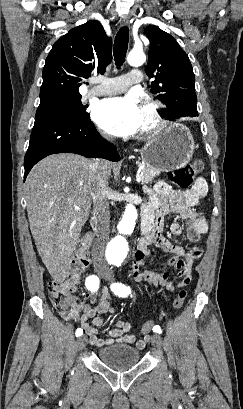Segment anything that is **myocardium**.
Here are the masks:
<instances>
[{
	"instance_id": "myocardium-1",
	"label": "myocardium",
	"mask_w": 243,
	"mask_h": 409,
	"mask_svg": "<svg viewBox=\"0 0 243 409\" xmlns=\"http://www.w3.org/2000/svg\"><path fill=\"white\" fill-rule=\"evenodd\" d=\"M143 106L150 114L151 124L143 128L141 133L145 136H151L161 132L166 126V121L162 115L159 102L154 100L151 96L146 95L143 98Z\"/></svg>"
}]
</instances>
